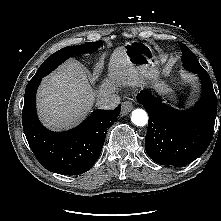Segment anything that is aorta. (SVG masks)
Returning a JSON list of instances; mask_svg holds the SVG:
<instances>
[{
  "label": "aorta",
  "mask_w": 221,
  "mask_h": 221,
  "mask_svg": "<svg viewBox=\"0 0 221 221\" xmlns=\"http://www.w3.org/2000/svg\"><path fill=\"white\" fill-rule=\"evenodd\" d=\"M131 121L136 126H145L148 123V114L145 110L137 108L132 111Z\"/></svg>",
  "instance_id": "762f6f07"
}]
</instances>
